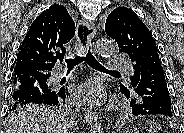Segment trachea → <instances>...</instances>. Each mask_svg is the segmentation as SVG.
Here are the masks:
<instances>
[{
	"instance_id": "trachea-1",
	"label": "trachea",
	"mask_w": 184,
	"mask_h": 133,
	"mask_svg": "<svg viewBox=\"0 0 184 133\" xmlns=\"http://www.w3.org/2000/svg\"><path fill=\"white\" fill-rule=\"evenodd\" d=\"M86 61L92 68H95L99 71H104V72H116L118 73V71H112V70H108L106 69L104 66H102L96 59L95 57L92 55V53L90 52V49L87 51L86 56H80V55H74L73 57L70 58H66L65 62L67 64V67L72 68L75 67L76 65L80 64L83 61Z\"/></svg>"
}]
</instances>
